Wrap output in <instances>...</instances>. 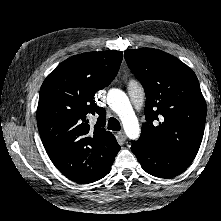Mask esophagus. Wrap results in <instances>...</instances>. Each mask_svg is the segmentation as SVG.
I'll return each mask as SVG.
<instances>
[{"label": "esophagus", "instance_id": "esophagus-1", "mask_svg": "<svg viewBox=\"0 0 221 221\" xmlns=\"http://www.w3.org/2000/svg\"><path fill=\"white\" fill-rule=\"evenodd\" d=\"M117 135L121 140H126V134L123 131L118 132Z\"/></svg>", "mask_w": 221, "mask_h": 221}]
</instances>
